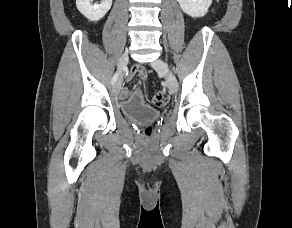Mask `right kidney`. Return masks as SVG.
Here are the masks:
<instances>
[{
    "mask_svg": "<svg viewBox=\"0 0 292 228\" xmlns=\"http://www.w3.org/2000/svg\"><path fill=\"white\" fill-rule=\"evenodd\" d=\"M92 0H76L77 9L90 21H99L112 6V0H102L101 4H91Z\"/></svg>",
    "mask_w": 292,
    "mask_h": 228,
    "instance_id": "1",
    "label": "right kidney"
}]
</instances>
